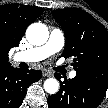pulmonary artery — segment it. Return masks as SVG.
Instances as JSON below:
<instances>
[{
	"label": "pulmonary artery",
	"instance_id": "1",
	"mask_svg": "<svg viewBox=\"0 0 108 108\" xmlns=\"http://www.w3.org/2000/svg\"><path fill=\"white\" fill-rule=\"evenodd\" d=\"M64 35L59 29H54L50 33L48 41L39 47L32 48L27 51L19 52L15 54V61H24V62H38L41 61L50 55L60 51L64 45ZM76 76V71H71L69 73L70 78Z\"/></svg>",
	"mask_w": 108,
	"mask_h": 108
}]
</instances>
